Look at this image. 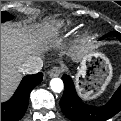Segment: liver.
Wrapping results in <instances>:
<instances>
[{"instance_id":"1","label":"liver","mask_w":121,"mask_h":121,"mask_svg":"<svg viewBox=\"0 0 121 121\" xmlns=\"http://www.w3.org/2000/svg\"><path fill=\"white\" fill-rule=\"evenodd\" d=\"M48 25L37 31L21 25H1V102L8 99L21 80V64L39 56L49 44Z\"/></svg>"}]
</instances>
